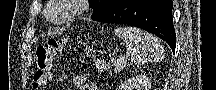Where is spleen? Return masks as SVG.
<instances>
[{
	"label": "spleen",
	"instance_id": "1",
	"mask_svg": "<svg viewBox=\"0 0 216 90\" xmlns=\"http://www.w3.org/2000/svg\"><path fill=\"white\" fill-rule=\"evenodd\" d=\"M115 36L123 40L127 54L136 66L158 60L162 52L158 38L139 28H116Z\"/></svg>",
	"mask_w": 216,
	"mask_h": 90
}]
</instances>
